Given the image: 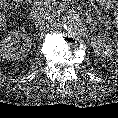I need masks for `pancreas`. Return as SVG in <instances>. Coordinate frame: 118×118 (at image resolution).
Masks as SVG:
<instances>
[{
    "label": "pancreas",
    "mask_w": 118,
    "mask_h": 118,
    "mask_svg": "<svg viewBox=\"0 0 118 118\" xmlns=\"http://www.w3.org/2000/svg\"><path fill=\"white\" fill-rule=\"evenodd\" d=\"M51 1L52 0H34V3L38 7V9L44 10V13H48L53 7L51 5ZM87 12L94 19L104 24L106 28H111L113 26V21L109 19L107 13L102 10H99L96 6H89Z\"/></svg>",
    "instance_id": "obj_1"
}]
</instances>
